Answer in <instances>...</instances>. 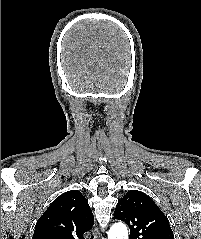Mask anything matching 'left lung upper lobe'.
I'll list each match as a JSON object with an SVG mask.
<instances>
[{"label": "left lung upper lobe", "instance_id": "left-lung-upper-lobe-1", "mask_svg": "<svg viewBox=\"0 0 201 239\" xmlns=\"http://www.w3.org/2000/svg\"><path fill=\"white\" fill-rule=\"evenodd\" d=\"M114 217L129 226V239H174L166 216L149 196L140 191H128L118 201Z\"/></svg>", "mask_w": 201, "mask_h": 239}]
</instances>
